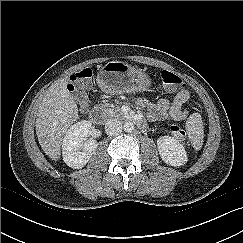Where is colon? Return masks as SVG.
Masks as SVG:
<instances>
[{"label": "colon", "instance_id": "1", "mask_svg": "<svg viewBox=\"0 0 243 243\" xmlns=\"http://www.w3.org/2000/svg\"><path fill=\"white\" fill-rule=\"evenodd\" d=\"M93 70L89 67L83 68L71 76L69 90L76 94L82 103L86 102L85 88L89 86ZM158 78L167 88L174 90L184 86L182 79L171 71L163 70L158 73ZM171 134L178 140H185L186 133L178 125L170 127Z\"/></svg>", "mask_w": 243, "mask_h": 243}]
</instances>
